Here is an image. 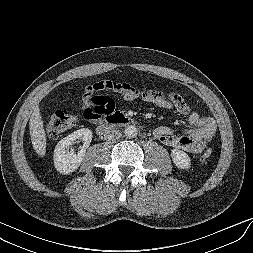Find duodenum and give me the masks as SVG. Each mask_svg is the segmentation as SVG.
<instances>
[{"label": "duodenum", "mask_w": 253, "mask_h": 253, "mask_svg": "<svg viewBox=\"0 0 253 253\" xmlns=\"http://www.w3.org/2000/svg\"><path fill=\"white\" fill-rule=\"evenodd\" d=\"M133 122V119L127 115L116 112L108 116L102 123L97 126V132L100 135H106L115 127L131 125Z\"/></svg>", "instance_id": "duodenum-1"}]
</instances>
